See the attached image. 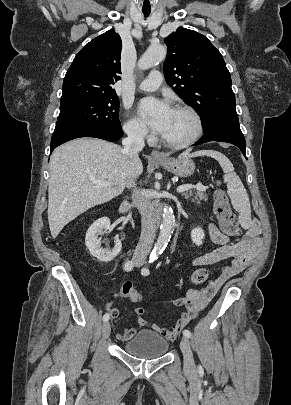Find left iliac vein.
Listing matches in <instances>:
<instances>
[{
    "label": "left iliac vein",
    "mask_w": 291,
    "mask_h": 405,
    "mask_svg": "<svg viewBox=\"0 0 291 405\" xmlns=\"http://www.w3.org/2000/svg\"><path fill=\"white\" fill-rule=\"evenodd\" d=\"M180 348L184 357V366L188 371H193L195 368V363L193 359L192 350L187 337H182L180 342Z\"/></svg>",
    "instance_id": "1"
}]
</instances>
